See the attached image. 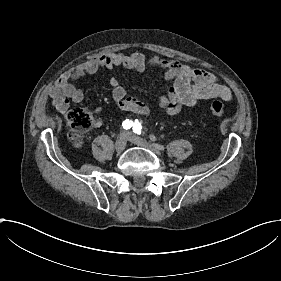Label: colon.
<instances>
[{
    "label": "colon",
    "instance_id": "5ec220e1",
    "mask_svg": "<svg viewBox=\"0 0 281 281\" xmlns=\"http://www.w3.org/2000/svg\"><path fill=\"white\" fill-rule=\"evenodd\" d=\"M226 104L221 101H212L207 103L205 110L207 114L214 117H222L226 113ZM68 123L72 129V142L75 146H83L86 143L87 131L90 128V121L86 115L81 112H70L67 117Z\"/></svg>",
    "mask_w": 281,
    "mask_h": 281
}]
</instances>
